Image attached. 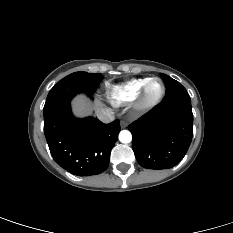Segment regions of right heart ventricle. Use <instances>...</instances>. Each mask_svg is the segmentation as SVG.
<instances>
[{
    "label": "right heart ventricle",
    "mask_w": 233,
    "mask_h": 233,
    "mask_svg": "<svg viewBox=\"0 0 233 233\" xmlns=\"http://www.w3.org/2000/svg\"><path fill=\"white\" fill-rule=\"evenodd\" d=\"M150 78H138L132 79L120 85H116L111 88L108 93L109 100L116 105L127 104L132 102L138 97V94L143 85Z\"/></svg>",
    "instance_id": "right-heart-ventricle-1"
}]
</instances>
